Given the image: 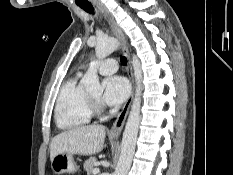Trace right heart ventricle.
Masks as SVG:
<instances>
[{
	"mask_svg": "<svg viewBox=\"0 0 233 175\" xmlns=\"http://www.w3.org/2000/svg\"><path fill=\"white\" fill-rule=\"evenodd\" d=\"M79 75L68 79L57 95L54 118L62 130H73L86 126L92 118L88 95L81 89Z\"/></svg>",
	"mask_w": 233,
	"mask_h": 175,
	"instance_id": "obj_1",
	"label": "right heart ventricle"
}]
</instances>
